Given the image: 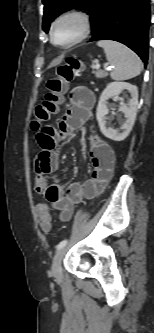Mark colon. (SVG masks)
<instances>
[{
  "instance_id": "obj_1",
  "label": "colon",
  "mask_w": 154,
  "mask_h": 333,
  "mask_svg": "<svg viewBox=\"0 0 154 333\" xmlns=\"http://www.w3.org/2000/svg\"><path fill=\"white\" fill-rule=\"evenodd\" d=\"M82 63L76 58H68L66 63L56 69L55 75L47 81V93L44 100L35 108L34 119L31 122L33 131L39 130L51 116L56 114L63 102L67 85L82 70ZM36 217L42 230L51 228L52 214L47 203H39L35 207Z\"/></svg>"
}]
</instances>
